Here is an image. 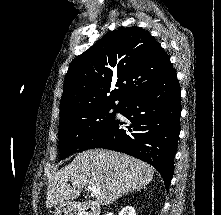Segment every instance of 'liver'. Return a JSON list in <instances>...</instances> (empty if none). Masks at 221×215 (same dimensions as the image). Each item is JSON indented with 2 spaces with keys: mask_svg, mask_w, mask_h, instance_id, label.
<instances>
[{
  "mask_svg": "<svg viewBox=\"0 0 221 215\" xmlns=\"http://www.w3.org/2000/svg\"><path fill=\"white\" fill-rule=\"evenodd\" d=\"M154 172L149 164L123 153L87 150L49 178L46 207L75 200L87 185L100 190L97 204L110 205L128 192L140 191L152 181Z\"/></svg>",
  "mask_w": 221,
  "mask_h": 215,
  "instance_id": "6515ba94",
  "label": "liver"
}]
</instances>
